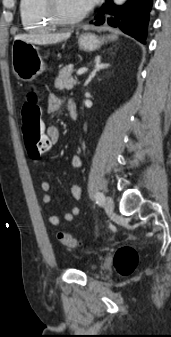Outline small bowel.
Here are the masks:
<instances>
[{
    "mask_svg": "<svg viewBox=\"0 0 171 337\" xmlns=\"http://www.w3.org/2000/svg\"><path fill=\"white\" fill-rule=\"evenodd\" d=\"M72 102L69 101L67 103V106H69V104ZM64 105V100L57 96V95H50L47 99V112L49 114L55 113L57 111H59ZM45 133H46V137L48 140L52 141V146L57 144L59 139H60V131L59 128L57 126L54 125H50L47 126L45 129ZM69 166L72 169H78L82 166V158L78 155H74L70 158L69 161ZM40 188L43 192L42 194V201L44 203H49L51 201V194H50V184L47 181H42L40 184ZM70 192H71V196L73 197L74 200L78 201L81 198V188L77 183H72L70 186ZM80 213V209L77 206H74L70 209L69 212L65 213L64 215V219L67 222H71L76 216H78ZM48 222L52 225V226H59L60 224V219L58 216L54 215V214H50L48 215Z\"/></svg>",
    "mask_w": 171,
    "mask_h": 337,
    "instance_id": "obj_1",
    "label": "small bowel"
}]
</instances>
